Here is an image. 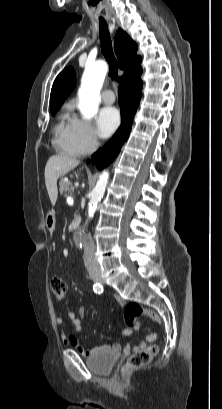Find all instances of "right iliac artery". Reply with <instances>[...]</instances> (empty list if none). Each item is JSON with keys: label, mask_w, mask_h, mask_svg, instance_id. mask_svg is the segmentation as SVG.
<instances>
[{"label": "right iliac artery", "mask_w": 222, "mask_h": 409, "mask_svg": "<svg viewBox=\"0 0 222 409\" xmlns=\"http://www.w3.org/2000/svg\"><path fill=\"white\" fill-rule=\"evenodd\" d=\"M93 290L97 294H101L103 292V286L100 283H95L93 285Z\"/></svg>", "instance_id": "82829eb1"}]
</instances>
